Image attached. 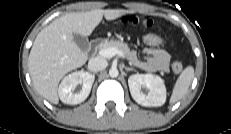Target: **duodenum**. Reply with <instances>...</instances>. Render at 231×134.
Listing matches in <instances>:
<instances>
[{
	"mask_svg": "<svg viewBox=\"0 0 231 134\" xmlns=\"http://www.w3.org/2000/svg\"><path fill=\"white\" fill-rule=\"evenodd\" d=\"M102 43V39H95V40H93L92 41V47L93 48H96V47H98L100 44Z\"/></svg>",
	"mask_w": 231,
	"mask_h": 134,
	"instance_id": "obj_1",
	"label": "duodenum"
}]
</instances>
